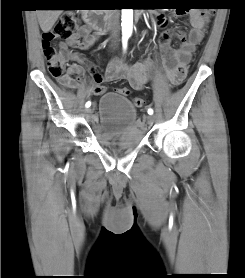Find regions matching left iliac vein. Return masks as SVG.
Here are the masks:
<instances>
[{
  "mask_svg": "<svg viewBox=\"0 0 245 278\" xmlns=\"http://www.w3.org/2000/svg\"><path fill=\"white\" fill-rule=\"evenodd\" d=\"M154 120H155V118H154L153 115H148L146 117V122H147L148 125H152L154 123Z\"/></svg>",
  "mask_w": 245,
  "mask_h": 278,
  "instance_id": "obj_1",
  "label": "left iliac vein"
}]
</instances>
